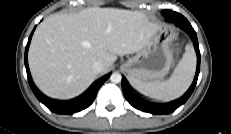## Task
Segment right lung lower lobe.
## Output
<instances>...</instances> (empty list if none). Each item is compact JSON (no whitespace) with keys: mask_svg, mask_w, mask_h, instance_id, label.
<instances>
[{"mask_svg":"<svg viewBox=\"0 0 231 134\" xmlns=\"http://www.w3.org/2000/svg\"><path fill=\"white\" fill-rule=\"evenodd\" d=\"M34 30L32 31L29 37V40H28V43L25 49V67H26L27 77H28L30 87L32 91L34 92L35 96L38 98L39 101H41L51 111L55 113H59V114H73L75 112H79L87 108L88 106H90L92 102L94 101L100 86L110 77V74H107L106 76L97 80L83 95L73 100L58 101V100H53V99L46 97L34 85L31 75H30L29 66H28V48H29V44H30L31 37L33 35Z\"/></svg>","mask_w":231,"mask_h":134,"instance_id":"right-lung-lower-lobe-1","label":"right lung lower lobe"}]
</instances>
